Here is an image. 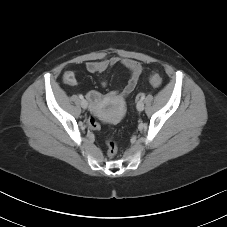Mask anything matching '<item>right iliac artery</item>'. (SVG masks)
<instances>
[{"instance_id": "82829eb1", "label": "right iliac artery", "mask_w": 227, "mask_h": 227, "mask_svg": "<svg viewBox=\"0 0 227 227\" xmlns=\"http://www.w3.org/2000/svg\"><path fill=\"white\" fill-rule=\"evenodd\" d=\"M79 98L81 99V100H83L84 99V97H83V95H79Z\"/></svg>"}]
</instances>
